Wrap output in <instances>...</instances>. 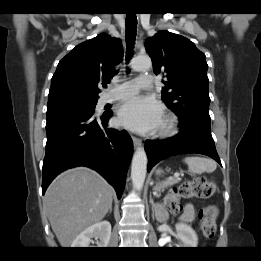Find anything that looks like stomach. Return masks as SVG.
<instances>
[{
  "label": "stomach",
  "instance_id": "obj_1",
  "mask_svg": "<svg viewBox=\"0 0 261 261\" xmlns=\"http://www.w3.org/2000/svg\"><path fill=\"white\" fill-rule=\"evenodd\" d=\"M161 173H162V170H161V169L156 170V174H157V175H160Z\"/></svg>",
  "mask_w": 261,
  "mask_h": 261
}]
</instances>
